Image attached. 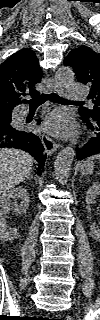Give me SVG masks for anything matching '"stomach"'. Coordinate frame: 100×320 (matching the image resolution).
<instances>
[{"label": "stomach", "instance_id": "0dacf381", "mask_svg": "<svg viewBox=\"0 0 100 320\" xmlns=\"http://www.w3.org/2000/svg\"><path fill=\"white\" fill-rule=\"evenodd\" d=\"M94 166L92 161H85L79 165V171L83 176L90 175L94 170Z\"/></svg>", "mask_w": 100, "mask_h": 320}]
</instances>
